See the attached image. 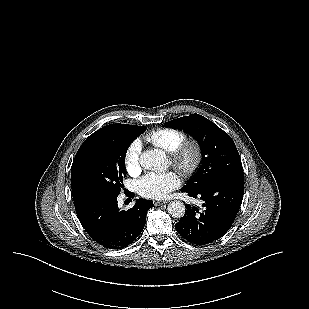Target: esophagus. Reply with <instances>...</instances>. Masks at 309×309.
<instances>
[{"instance_id": "1", "label": "esophagus", "mask_w": 309, "mask_h": 309, "mask_svg": "<svg viewBox=\"0 0 309 309\" xmlns=\"http://www.w3.org/2000/svg\"><path fill=\"white\" fill-rule=\"evenodd\" d=\"M153 203H154L155 206H160V205L166 204L167 201H157V200H155V201H153Z\"/></svg>"}]
</instances>
